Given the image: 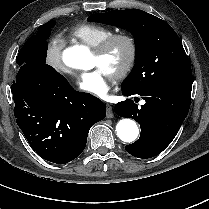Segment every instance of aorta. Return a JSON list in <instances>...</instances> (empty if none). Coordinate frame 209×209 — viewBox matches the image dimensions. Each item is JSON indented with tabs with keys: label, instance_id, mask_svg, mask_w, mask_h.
<instances>
[{
	"label": "aorta",
	"instance_id": "1",
	"mask_svg": "<svg viewBox=\"0 0 209 209\" xmlns=\"http://www.w3.org/2000/svg\"><path fill=\"white\" fill-rule=\"evenodd\" d=\"M64 64L73 69L88 70L91 68V55L88 47L74 45L66 48L62 54ZM116 134L123 142H133L139 134V129L134 120L124 118L116 125Z\"/></svg>",
	"mask_w": 209,
	"mask_h": 209
}]
</instances>
